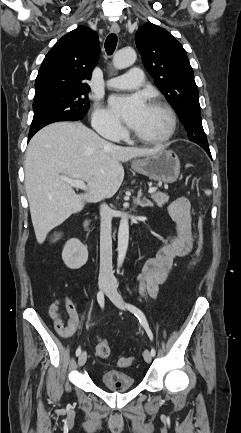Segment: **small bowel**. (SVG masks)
I'll list each match as a JSON object with an SVG mask.
<instances>
[{"instance_id":"1","label":"small bowel","mask_w":241,"mask_h":433,"mask_svg":"<svg viewBox=\"0 0 241 433\" xmlns=\"http://www.w3.org/2000/svg\"><path fill=\"white\" fill-rule=\"evenodd\" d=\"M169 214L176 222L177 235L166 242L155 257L144 262L139 276L140 292L149 299L158 296L160 287L168 279L174 259L188 255L193 248L189 200L185 197L176 198L169 205ZM64 306L68 314L67 323L61 318L56 302L49 306V315L54 322L56 332L67 339L80 330L81 323L77 308L68 296L64 297ZM102 340L100 335H96L97 345Z\"/></svg>"}]
</instances>
